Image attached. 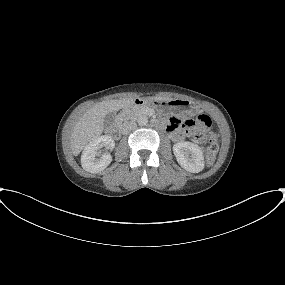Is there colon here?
Instances as JSON below:
<instances>
[{"label": "colon", "mask_w": 285, "mask_h": 285, "mask_svg": "<svg viewBox=\"0 0 285 285\" xmlns=\"http://www.w3.org/2000/svg\"><path fill=\"white\" fill-rule=\"evenodd\" d=\"M185 128L192 134V136L201 142L205 148L206 163L213 164L216 154L218 152V142L214 135L205 134V131L210 126V118L207 115H199L196 117L184 118Z\"/></svg>", "instance_id": "5ec220e1"}]
</instances>
